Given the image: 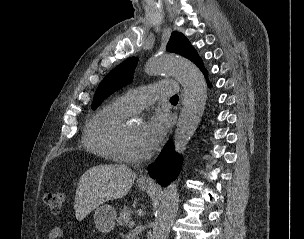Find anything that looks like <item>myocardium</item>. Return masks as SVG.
<instances>
[{"instance_id":"obj_1","label":"myocardium","mask_w":304,"mask_h":239,"mask_svg":"<svg viewBox=\"0 0 304 239\" xmlns=\"http://www.w3.org/2000/svg\"><path fill=\"white\" fill-rule=\"evenodd\" d=\"M127 131L128 125L126 123L123 124L121 129L119 130L116 146L118 154L122 161L129 162V163H138L147 158L146 154H134L131 153L127 148Z\"/></svg>"}]
</instances>
